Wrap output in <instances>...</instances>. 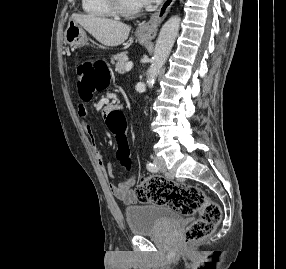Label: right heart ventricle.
I'll use <instances>...</instances> for the list:
<instances>
[{
	"label": "right heart ventricle",
	"instance_id": "1",
	"mask_svg": "<svg viewBox=\"0 0 286 269\" xmlns=\"http://www.w3.org/2000/svg\"><path fill=\"white\" fill-rule=\"evenodd\" d=\"M81 6L85 14L95 18L113 17L111 11L107 8L104 0H81Z\"/></svg>",
	"mask_w": 286,
	"mask_h": 269
}]
</instances>
